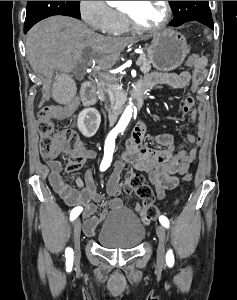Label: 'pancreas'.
<instances>
[{
    "instance_id": "obj_1",
    "label": "pancreas",
    "mask_w": 237,
    "mask_h": 300,
    "mask_svg": "<svg viewBox=\"0 0 237 300\" xmlns=\"http://www.w3.org/2000/svg\"><path fill=\"white\" fill-rule=\"evenodd\" d=\"M138 61L142 64L140 65V69L144 75H148L151 71V61L146 59L145 55H140L138 57ZM138 65V64H137ZM119 85L118 79H116L115 75H109V73H104L103 77L99 79V93H101V97H103L104 101H108V103H112L115 101L114 91L112 87H117ZM111 115H115L114 111L111 109H107Z\"/></svg>"
}]
</instances>
